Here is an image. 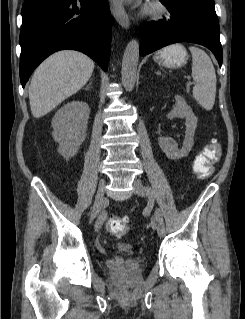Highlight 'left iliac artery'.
<instances>
[{
	"label": "left iliac artery",
	"mask_w": 245,
	"mask_h": 319,
	"mask_svg": "<svg viewBox=\"0 0 245 319\" xmlns=\"http://www.w3.org/2000/svg\"><path fill=\"white\" fill-rule=\"evenodd\" d=\"M151 198H152V195H151ZM155 216H156V219H157V222H158V231H160L161 233L165 234V227H164V223H163V218H162V214H161L159 209H157L155 211Z\"/></svg>",
	"instance_id": "left-iliac-artery-1"
}]
</instances>
